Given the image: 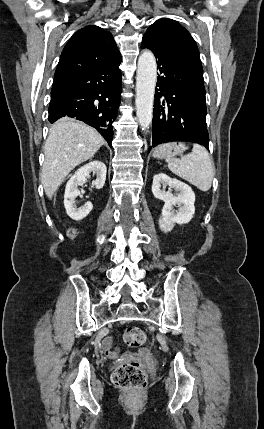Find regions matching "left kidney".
Returning a JSON list of instances; mask_svg holds the SVG:
<instances>
[{
    "label": "left kidney",
    "mask_w": 264,
    "mask_h": 429,
    "mask_svg": "<svg viewBox=\"0 0 264 429\" xmlns=\"http://www.w3.org/2000/svg\"><path fill=\"white\" fill-rule=\"evenodd\" d=\"M167 186H169V191L166 192ZM171 189L178 193L172 194ZM152 193L155 198L165 202L159 219V226L162 231L170 232L176 223L181 225L190 222L195 213V193L189 185L159 173L153 177ZM176 204L179 207L178 211L173 210V205Z\"/></svg>",
    "instance_id": "5707ae66"
}]
</instances>
